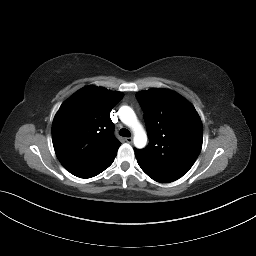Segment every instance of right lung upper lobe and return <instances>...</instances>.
<instances>
[{
  "mask_svg": "<svg viewBox=\"0 0 256 256\" xmlns=\"http://www.w3.org/2000/svg\"><path fill=\"white\" fill-rule=\"evenodd\" d=\"M123 94L87 86L67 99L52 124V141L61 164L69 171L104 162L121 143L113 134L112 108Z\"/></svg>",
  "mask_w": 256,
  "mask_h": 256,
  "instance_id": "1",
  "label": "right lung upper lobe"
}]
</instances>
